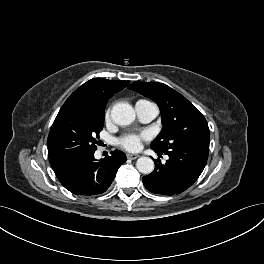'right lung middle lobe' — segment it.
Returning a JSON list of instances; mask_svg holds the SVG:
<instances>
[{"instance_id": "dd1d6c3e", "label": "right lung middle lobe", "mask_w": 264, "mask_h": 264, "mask_svg": "<svg viewBox=\"0 0 264 264\" xmlns=\"http://www.w3.org/2000/svg\"><path fill=\"white\" fill-rule=\"evenodd\" d=\"M103 125L104 112L75 106L62 107L47 140L49 161L74 153L95 152Z\"/></svg>"}]
</instances>
